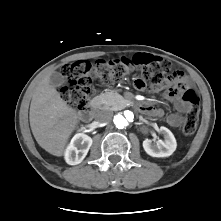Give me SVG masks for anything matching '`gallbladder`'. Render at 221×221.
Here are the masks:
<instances>
[{
	"label": "gallbladder",
	"mask_w": 221,
	"mask_h": 221,
	"mask_svg": "<svg viewBox=\"0 0 221 221\" xmlns=\"http://www.w3.org/2000/svg\"><path fill=\"white\" fill-rule=\"evenodd\" d=\"M66 83L65 77L59 72H53L50 76V84L54 87H60Z\"/></svg>",
	"instance_id": "bac80fb5"
}]
</instances>
